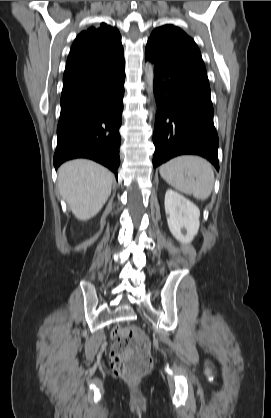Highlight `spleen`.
I'll return each instance as SVG.
<instances>
[{"label": "spleen", "mask_w": 271, "mask_h": 418, "mask_svg": "<svg viewBox=\"0 0 271 418\" xmlns=\"http://www.w3.org/2000/svg\"><path fill=\"white\" fill-rule=\"evenodd\" d=\"M159 171L169 185L199 200L207 199L214 187L212 165L199 156H178L161 165Z\"/></svg>", "instance_id": "spleen-1"}]
</instances>
